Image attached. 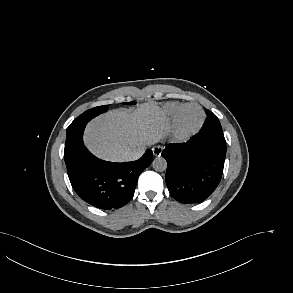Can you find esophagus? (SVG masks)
Instances as JSON below:
<instances>
[{"label":"esophagus","mask_w":293,"mask_h":293,"mask_svg":"<svg viewBox=\"0 0 293 293\" xmlns=\"http://www.w3.org/2000/svg\"><path fill=\"white\" fill-rule=\"evenodd\" d=\"M152 151H153L154 156L160 157L161 156V153L163 151V147L162 146H154L152 148Z\"/></svg>","instance_id":"1"}]
</instances>
